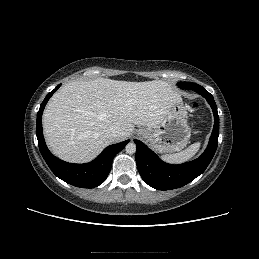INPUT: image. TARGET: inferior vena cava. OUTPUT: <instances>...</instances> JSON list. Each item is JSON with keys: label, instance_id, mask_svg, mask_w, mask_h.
<instances>
[{"label": "inferior vena cava", "instance_id": "obj_1", "mask_svg": "<svg viewBox=\"0 0 259 259\" xmlns=\"http://www.w3.org/2000/svg\"><path fill=\"white\" fill-rule=\"evenodd\" d=\"M120 133H121V130H120L119 127H117V126H111V127H109V128L106 130L105 136H106L109 140L115 142V140L119 137Z\"/></svg>", "mask_w": 259, "mask_h": 259}]
</instances>
